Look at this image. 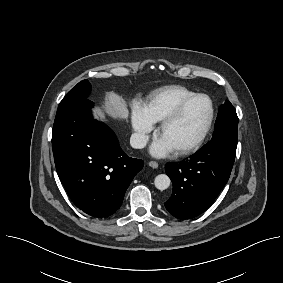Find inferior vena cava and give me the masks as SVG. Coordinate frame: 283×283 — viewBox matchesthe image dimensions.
Here are the masks:
<instances>
[{"label": "inferior vena cava", "instance_id": "602c4592", "mask_svg": "<svg viewBox=\"0 0 283 283\" xmlns=\"http://www.w3.org/2000/svg\"><path fill=\"white\" fill-rule=\"evenodd\" d=\"M148 136L141 133H134L130 138V145L135 149H142L146 146Z\"/></svg>", "mask_w": 283, "mask_h": 283}]
</instances>
